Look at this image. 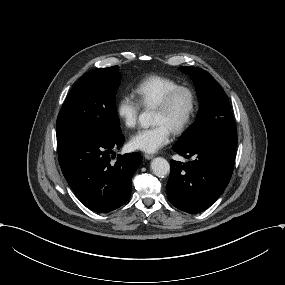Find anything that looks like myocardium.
I'll return each instance as SVG.
<instances>
[{
    "label": "myocardium",
    "instance_id": "obj_1",
    "mask_svg": "<svg viewBox=\"0 0 285 285\" xmlns=\"http://www.w3.org/2000/svg\"><path fill=\"white\" fill-rule=\"evenodd\" d=\"M181 91H185L189 95V106L186 113L178 120H176L171 129L175 132L184 129L189 122L197 108L198 98L195 89L190 85L179 84L166 93V95L154 106L160 110H169L177 96Z\"/></svg>",
    "mask_w": 285,
    "mask_h": 285
}]
</instances>
